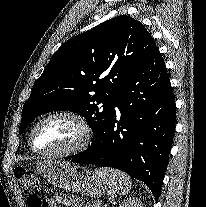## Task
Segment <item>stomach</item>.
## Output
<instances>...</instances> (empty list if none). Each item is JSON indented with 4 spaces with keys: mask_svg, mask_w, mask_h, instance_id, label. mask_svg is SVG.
<instances>
[{
    "mask_svg": "<svg viewBox=\"0 0 206 207\" xmlns=\"http://www.w3.org/2000/svg\"><path fill=\"white\" fill-rule=\"evenodd\" d=\"M36 170L54 187L91 198L101 197L108 187L95 172L80 165L41 160L36 163Z\"/></svg>",
    "mask_w": 206,
    "mask_h": 207,
    "instance_id": "obj_1",
    "label": "stomach"
}]
</instances>
